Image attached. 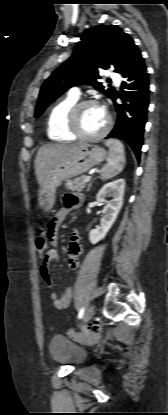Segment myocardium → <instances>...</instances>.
Masks as SVG:
<instances>
[{"label":"myocardium","instance_id":"1","mask_svg":"<svg viewBox=\"0 0 168 415\" xmlns=\"http://www.w3.org/2000/svg\"><path fill=\"white\" fill-rule=\"evenodd\" d=\"M90 104H98L97 101L92 99H85L76 102L69 111L68 114V129L76 137L82 140H97L104 137L112 126V118L109 114L107 115L106 124L103 129L95 134H86L81 130L80 127V112L81 110Z\"/></svg>","mask_w":168,"mask_h":415}]
</instances>
